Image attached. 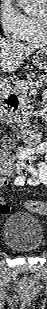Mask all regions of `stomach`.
I'll use <instances>...</instances> for the list:
<instances>
[{"label": "stomach", "instance_id": "stomach-1", "mask_svg": "<svg viewBox=\"0 0 47 309\" xmlns=\"http://www.w3.org/2000/svg\"><path fill=\"white\" fill-rule=\"evenodd\" d=\"M32 63L40 69L47 70V46L36 52L33 56Z\"/></svg>", "mask_w": 47, "mask_h": 309}]
</instances>
